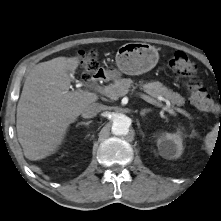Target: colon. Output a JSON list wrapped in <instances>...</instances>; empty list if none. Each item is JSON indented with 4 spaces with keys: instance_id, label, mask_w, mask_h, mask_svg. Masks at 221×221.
Listing matches in <instances>:
<instances>
[{
    "instance_id": "5ec220e1",
    "label": "colon",
    "mask_w": 221,
    "mask_h": 221,
    "mask_svg": "<svg viewBox=\"0 0 221 221\" xmlns=\"http://www.w3.org/2000/svg\"><path fill=\"white\" fill-rule=\"evenodd\" d=\"M169 67L177 76L186 79L190 100L195 108L202 112H213L216 110L217 103L215 99L196 77V65L185 53L176 52L169 61ZM81 69L83 80H88L99 70L97 53L95 51L89 50L83 53Z\"/></svg>"
}]
</instances>
